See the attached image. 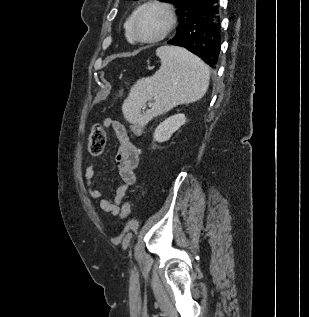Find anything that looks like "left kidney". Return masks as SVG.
Returning <instances> with one entry per match:
<instances>
[{
	"label": "left kidney",
	"mask_w": 309,
	"mask_h": 317,
	"mask_svg": "<svg viewBox=\"0 0 309 317\" xmlns=\"http://www.w3.org/2000/svg\"><path fill=\"white\" fill-rule=\"evenodd\" d=\"M185 121V115L181 113L168 117L156 127L153 135L154 140L159 143L169 140L172 134L176 132Z\"/></svg>",
	"instance_id": "obj_1"
}]
</instances>
